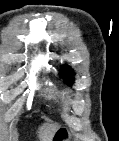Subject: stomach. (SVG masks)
Returning a JSON list of instances; mask_svg holds the SVG:
<instances>
[{
  "instance_id": "obj_1",
  "label": "stomach",
  "mask_w": 119,
  "mask_h": 141,
  "mask_svg": "<svg viewBox=\"0 0 119 141\" xmlns=\"http://www.w3.org/2000/svg\"><path fill=\"white\" fill-rule=\"evenodd\" d=\"M71 134L65 127H59L52 135L50 141H70Z\"/></svg>"
}]
</instances>
